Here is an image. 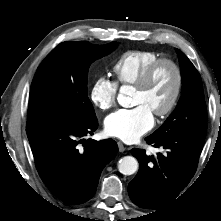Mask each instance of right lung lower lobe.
Returning <instances> with one entry per match:
<instances>
[{"instance_id":"obj_1","label":"right lung lower lobe","mask_w":221,"mask_h":221,"mask_svg":"<svg viewBox=\"0 0 221 221\" xmlns=\"http://www.w3.org/2000/svg\"><path fill=\"white\" fill-rule=\"evenodd\" d=\"M97 127V118L70 121L40 116L27 122L38 173L49 190L67 204H82L95 194L102 169L118 151L112 139H82Z\"/></svg>"}]
</instances>
